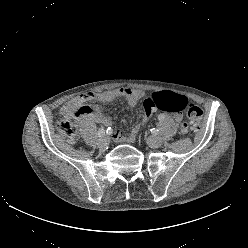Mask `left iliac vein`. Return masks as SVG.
<instances>
[{
    "mask_svg": "<svg viewBox=\"0 0 248 248\" xmlns=\"http://www.w3.org/2000/svg\"><path fill=\"white\" fill-rule=\"evenodd\" d=\"M147 144L151 147V148H159L162 146L163 141L160 137L157 136H151L147 139Z\"/></svg>",
    "mask_w": 248,
    "mask_h": 248,
    "instance_id": "obj_1",
    "label": "left iliac vein"
}]
</instances>
